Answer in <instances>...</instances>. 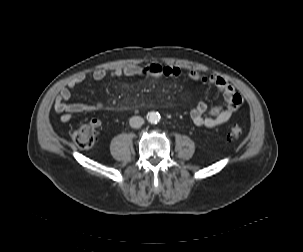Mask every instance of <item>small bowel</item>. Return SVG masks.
I'll use <instances>...</instances> for the list:
<instances>
[{
  "label": "small bowel",
  "instance_id": "small-bowel-1",
  "mask_svg": "<svg viewBox=\"0 0 303 252\" xmlns=\"http://www.w3.org/2000/svg\"><path fill=\"white\" fill-rule=\"evenodd\" d=\"M111 77H179L183 75L181 68L170 64L152 63L147 66L129 65L121 69L107 71L97 69L87 74H80L63 87L54 100L53 110L60 114V121L67 123L71 120L73 113L91 112L101 110L105 107L103 102L96 104L86 103H68L72 92L85 80L100 81L107 76ZM190 76L205 85L215 87L225 100L224 106L207 108L206 103L200 100L198 104L190 111V120L196 126L214 128L226 123L232 115L241 107L243 97L235 88L224 78L216 74L203 75L198 72L190 73ZM98 123H100L98 121Z\"/></svg>",
  "mask_w": 303,
  "mask_h": 252
}]
</instances>
